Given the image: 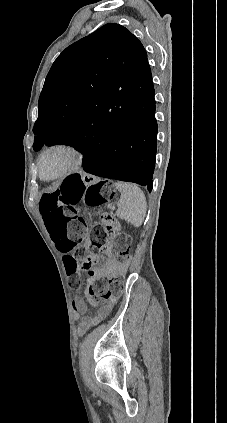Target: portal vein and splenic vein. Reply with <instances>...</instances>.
Returning <instances> with one entry per match:
<instances>
[{
  "label": "portal vein and splenic vein",
  "mask_w": 227,
  "mask_h": 423,
  "mask_svg": "<svg viewBox=\"0 0 227 423\" xmlns=\"http://www.w3.org/2000/svg\"><path fill=\"white\" fill-rule=\"evenodd\" d=\"M111 209H112V210H115V209H116V206H115V205H112V206H111Z\"/></svg>",
  "instance_id": "obj_1"
}]
</instances>
